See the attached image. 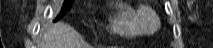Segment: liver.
Instances as JSON below:
<instances>
[{"mask_svg": "<svg viewBox=\"0 0 213 48\" xmlns=\"http://www.w3.org/2000/svg\"><path fill=\"white\" fill-rule=\"evenodd\" d=\"M40 48H88L81 36L67 23L49 26L42 38Z\"/></svg>", "mask_w": 213, "mask_h": 48, "instance_id": "obj_1", "label": "liver"}]
</instances>
